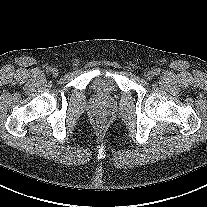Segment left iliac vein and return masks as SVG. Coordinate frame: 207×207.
<instances>
[{
	"instance_id": "left-iliac-vein-1",
	"label": "left iliac vein",
	"mask_w": 207,
	"mask_h": 207,
	"mask_svg": "<svg viewBox=\"0 0 207 207\" xmlns=\"http://www.w3.org/2000/svg\"><path fill=\"white\" fill-rule=\"evenodd\" d=\"M154 77V72L153 71H148L146 74V78L148 80L152 79Z\"/></svg>"
}]
</instances>
